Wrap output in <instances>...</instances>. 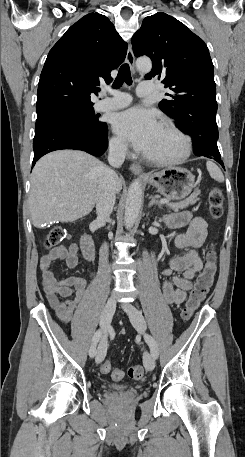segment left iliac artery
I'll list each match as a JSON object with an SVG mask.
<instances>
[{
	"mask_svg": "<svg viewBox=\"0 0 245 457\" xmlns=\"http://www.w3.org/2000/svg\"><path fill=\"white\" fill-rule=\"evenodd\" d=\"M145 340H146L147 344L150 347L152 356L157 358L159 352H158V347H157V344H156L154 338L152 336H150V335H146L145 336Z\"/></svg>",
	"mask_w": 245,
	"mask_h": 457,
	"instance_id": "left-iliac-artery-1",
	"label": "left iliac artery"
}]
</instances>
